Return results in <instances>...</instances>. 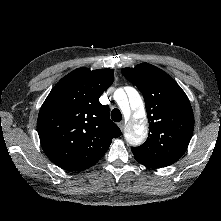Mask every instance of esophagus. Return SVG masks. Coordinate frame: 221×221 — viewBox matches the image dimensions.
Instances as JSON below:
<instances>
[{
	"label": "esophagus",
	"instance_id": "1",
	"mask_svg": "<svg viewBox=\"0 0 221 221\" xmlns=\"http://www.w3.org/2000/svg\"><path fill=\"white\" fill-rule=\"evenodd\" d=\"M119 128L123 131L125 127V123L123 121L118 123Z\"/></svg>",
	"mask_w": 221,
	"mask_h": 221
}]
</instances>
